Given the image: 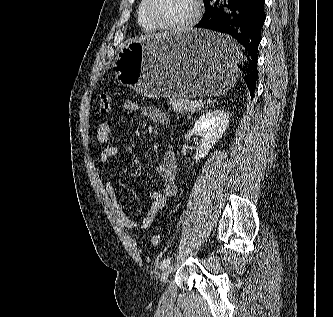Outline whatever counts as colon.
Wrapping results in <instances>:
<instances>
[{"label": "colon", "mask_w": 333, "mask_h": 317, "mask_svg": "<svg viewBox=\"0 0 333 317\" xmlns=\"http://www.w3.org/2000/svg\"><path fill=\"white\" fill-rule=\"evenodd\" d=\"M111 97L107 94H102L97 102L96 115L98 117L105 116L111 110ZM150 241L152 244L157 245L160 242V235L153 233L151 235Z\"/></svg>", "instance_id": "obj_1"}]
</instances>
